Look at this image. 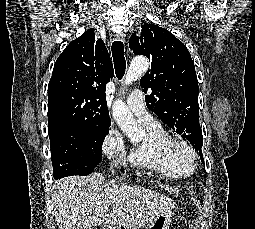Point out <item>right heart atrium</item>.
Instances as JSON below:
<instances>
[{
	"instance_id": "obj_1",
	"label": "right heart atrium",
	"mask_w": 255,
	"mask_h": 229,
	"mask_svg": "<svg viewBox=\"0 0 255 229\" xmlns=\"http://www.w3.org/2000/svg\"><path fill=\"white\" fill-rule=\"evenodd\" d=\"M102 151L111 161H116L123 156L125 144L121 134L117 130L111 129L109 131L102 144Z\"/></svg>"
}]
</instances>
